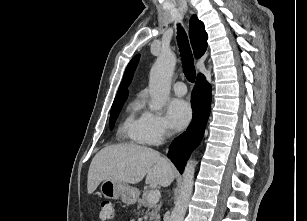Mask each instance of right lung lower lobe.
Listing matches in <instances>:
<instances>
[{"label":"right lung lower lobe","instance_id":"obj_1","mask_svg":"<svg viewBox=\"0 0 307 221\" xmlns=\"http://www.w3.org/2000/svg\"><path fill=\"white\" fill-rule=\"evenodd\" d=\"M211 87L205 77H197L191 104L193 109V120L186 132L177 137L169 148L168 157L175 164L180 173L183 172L186 161L195 149L204 134L207 119L210 113Z\"/></svg>","mask_w":307,"mask_h":221}]
</instances>
